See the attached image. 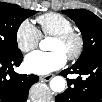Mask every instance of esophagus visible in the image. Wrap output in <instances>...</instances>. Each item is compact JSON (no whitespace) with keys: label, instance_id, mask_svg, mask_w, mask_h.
Returning a JSON list of instances; mask_svg holds the SVG:
<instances>
[{"label":"esophagus","instance_id":"esophagus-1","mask_svg":"<svg viewBox=\"0 0 102 102\" xmlns=\"http://www.w3.org/2000/svg\"><path fill=\"white\" fill-rule=\"evenodd\" d=\"M53 76L52 75H47V76H40L39 79L45 82H48L51 80Z\"/></svg>","mask_w":102,"mask_h":102}]
</instances>
